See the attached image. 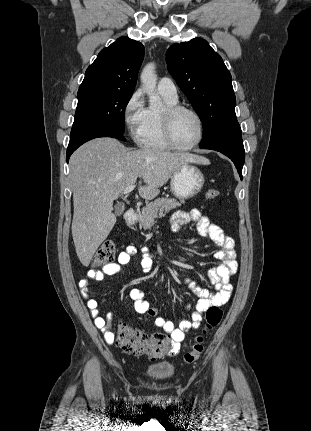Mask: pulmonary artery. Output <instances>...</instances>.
Returning a JSON list of instances; mask_svg holds the SVG:
<instances>
[{"label":"pulmonary artery","mask_w":311,"mask_h":431,"mask_svg":"<svg viewBox=\"0 0 311 431\" xmlns=\"http://www.w3.org/2000/svg\"><path fill=\"white\" fill-rule=\"evenodd\" d=\"M157 86L161 94L168 95L171 97H177V88L172 79L168 77H162L158 81Z\"/></svg>","instance_id":"pulmonary-artery-1"}]
</instances>
